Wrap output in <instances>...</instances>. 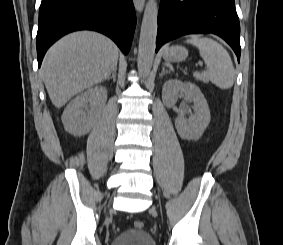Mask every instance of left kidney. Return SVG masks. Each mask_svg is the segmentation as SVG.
<instances>
[{
    "mask_svg": "<svg viewBox=\"0 0 283 245\" xmlns=\"http://www.w3.org/2000/svg\"><path fill=\"white\" fill-rule=\"evenodd\" d=\"M180 94L185 95L193 102V114L189 120H185L182 115L178 116L175 120V127L183 139L198 140L211 119L207 101L195 84L174 79L164 83L162 97L168 106L172 107Z\"/></svg>",
    "mask_w": 283,
    "mask_h": 245,
    "instance_id": "5707ae66",
    "label": "left kidney"
}]
</instances>
